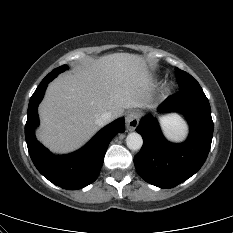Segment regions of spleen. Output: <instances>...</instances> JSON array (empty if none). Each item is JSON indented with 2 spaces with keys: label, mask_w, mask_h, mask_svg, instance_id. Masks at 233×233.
Masks as SVG:
<instances>
[{
  "label": "spleen",
  "mask_w": 233,
  "mask_h": 233,
  "mask_svg": "<svg viewBox=\"0 0 233 233\" xmlns=\"http://www.w3.org/2000/svg\"><path fill=\"white\" fill-rule=\"evenodd\" d=\"M165 135L174 141L182 140L187 133V126L182 119L176 116L169 117L162 121Z\"/></svg>",
  "instance_id": "obj_1"
}]
</instances>
